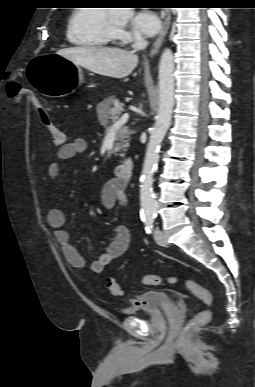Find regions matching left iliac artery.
Returning a JSON list of instances; mask_svg holds the SVG:
<instances>
[{"label":"left iliac artery","instance_id":"1","mask_svg":"<svg viewBox=\"0 0 255 387\" xmlns=\"http://www.w3.org/2000/svg\"><path fill=\"white\" fill-rule=\"evenodd\" d=\"M142 221L144 222L146 232L148 234H151L154 227V218L147 217V218H143Z\"/></svg>","mask_w":255,"mask_h":387}]
</instances>
